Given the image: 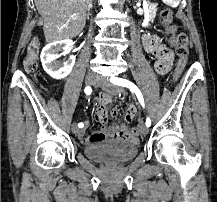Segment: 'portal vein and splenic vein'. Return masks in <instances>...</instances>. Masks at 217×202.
<instances>
[{"label": "portal vein and splenic vein", "mask_w": 217, "mask_h": 202, "mask_svg": "<svg viewBox=\"0 0 217 202\" xmlns=\"http://www.w3.org/2000/svg\"><path fill=\"white\" fill-rule=\"evenodd\" d=\"M72 20H77V18H75V16H73Z\"/></svg>", "instance_id": "obj_1"}]
</instances>
